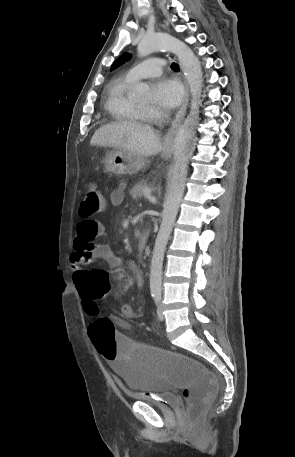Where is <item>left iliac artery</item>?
Returning <instances> with one entry per match:
<instances>
[{
	"label": "left iliac artery",
	"mask_w": 295,
	"mask_h": 457,
	"mask_svg": "<svg viewBox=\"0 0 295 457\" xmlns=\"http://www.w3.org/2000/svg\"><path fill=\"white\" fill-rule=\"evenodd\" d=\"M154 297H155V302H156V303H159V301H160V299H161L160 294H156V295H154Z\"/></svg>",
	"instance_id": "left-iliac-artery-1"
}]
</instances>
